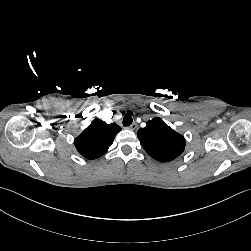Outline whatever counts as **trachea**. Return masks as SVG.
I'll return each instance as SVG.
<instances>
[{
  "label": "trachea",
  "mask_w": 251,
  "mask_h": 251,
  "mask_svg": "<svg viewBox=\"0 0 251 251\" xmlns=\"http://www.w3.org/2000/svg\"><path fill=\"white\" fill-rule=\"evenodd\" d=\"M133 122V119L130 115H126L124 118H123V125L124 126H130Z\"/></svg>",
  "instance_id": "1"
}]
</instances>
